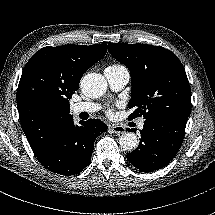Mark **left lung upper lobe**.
Listing matches in <instances>:
<instances>
[{
    "label": "left lung upper lobe",
    "instance_id": "obj_1",
    "mask_svg": "<svg viewBox=\"0 0 215 215\" xmlns=\"http://www.w3.org/2000/svg\"><path fill=\"white\" fill-rule=\"evenodd\" d=\"M111 55L131 73L133 119L190 116L191 89L185 69L170 50L146 44L108 43Z\"/></svg>",
    "mask_w": 215,
    "mask_h": 215
}]
</instances>
